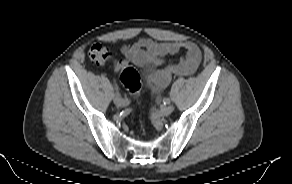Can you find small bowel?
<instances>
[{
	"mask_svg": "<svg viewBox=\"0 0 292 184\" xmlns=\"http://www.w3.org/2000/svg\"><path fill=\"white\" fill-rule=\"evenodd\" d=\"M127 60H116L114 67L119 71L128 61L138 67L146 69L153 84L157 88L167 86L174 76H188L193 74L201 61V52L196 44L185 42H157L150 38H141L135 43L124 45L121 49ZM183 51V56L176 62L165 65L162 69L156 66L164 63L168 55H175Z\"/></svg>",
	"mask_w": 292,
	"mask_h": 184,
	"instance_id": "small-bowel-1",
	"label": "small bowel"
}]
</instances>
